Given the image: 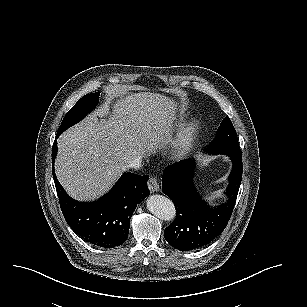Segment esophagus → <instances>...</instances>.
I'll list each match as a JSON object with an SVG mask.
<instances>
[{"label":"esophagus","instance_id":"obj_1","mask_svg":"<svg viewBox=\"0 0 307 307\" xmlns=\"http://www.w3.org/2000/svg\"><path fill=\"white\" fill-rule=\"evenodd\" d=\"M148 188L150 189L151 192L159 191L160 189L159 178L156 176L151 177L148 181Z\"/></svg>","mask_w":307,"mask_h":307}]
</instances>
